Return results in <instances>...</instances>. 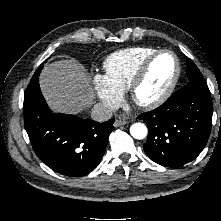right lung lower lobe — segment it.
Returning a JSON list of instances; mask_svg holds the SVG:
<instances>
[{
	"mask_svg": "<svg viewBox=\"0 0 221 221\" xmlns=\"http://www.w3.org/2000/svg\"><path fill=\"white\" fill-rule=\"evenodd\" d=\"M36 71L24 94V120L36 155L54 171L84 176L101 161L114 119L98 123L74 115L52 114L39 87Z\"/></svg>",
	"mask_w": 221,
	"mask_h": 221,
	"instance_id": "1",
	"label": "right lung lower lobe"
}]
</instances>
